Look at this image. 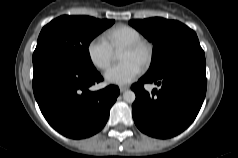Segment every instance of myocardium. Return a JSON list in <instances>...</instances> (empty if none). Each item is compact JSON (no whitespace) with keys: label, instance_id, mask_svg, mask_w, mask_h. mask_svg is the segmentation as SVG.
I'll return each instance as SVG.
<instances>
[{"label":"myocardium","instance_id":"myocardium-1","mask_svg":"<svg viewBox=\"0 0 238 158\" xmlns=\"http://www.w3.org/2000/svg\"><path fill=\"white\" fill-rule=\"evenodd\" d=\"M122 50H128V51H139V50H144L145 51V58L141 64V67L143 69L148 68L153 60V55H154V49L153 45L144 39H140L137 41H134L132 43H129L125 45Z\"/></svg>","mask_w":238,"mask_h":158}]
</instances>
